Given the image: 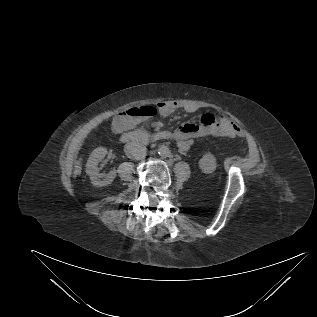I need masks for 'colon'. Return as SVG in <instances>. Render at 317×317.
I'll use <instances>...</instances> for the list:
<instances>
[{
	"mask_svg": "<svg viewBox=\"0 0 317 317\" xmlns=\"http://www.w3.org/2000/svg\"><path fill=\"white\" fill-rule=\"evenodd\" d=\"M158 108L155 105H143L128 109L125 114L134 119H145L155 116Z\"/></svg>",
	"mask_w": 317,
	"mask_h": 317,
	"instance_id": "5ec220e1",
	"label": "colon"
}]
</instances>
